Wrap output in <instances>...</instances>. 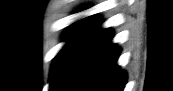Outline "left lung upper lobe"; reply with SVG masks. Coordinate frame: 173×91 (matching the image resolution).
I'll return each instance as SVG.
<instances>
[{
  "label": "left lung upper lobe",
  "mask_w": 173,
  "mask_h": 91,
  "mask_svg": "<svg viewBox=\"0 0 173 91\" xmlns=\"http://www.w3.org/2000/svg\"><path fill=\"white\" fill-rule=\"evenodd\" d=\"M99 22L100 17L97 15H92L73 23L69 27L64 39L68 41V43L54 58V62L52 64L50 72V89H52L56 85L61 71L72 52Z\"/></svg>",
  "instance_id": "5c2ea615"
}]
</instances>
